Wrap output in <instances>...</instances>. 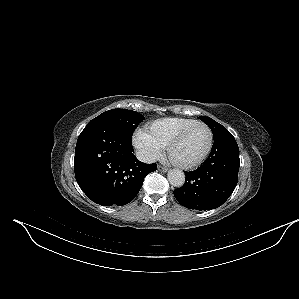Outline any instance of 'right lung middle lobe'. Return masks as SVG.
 I'll use <instances>...</instances> for the list:
<instances>
[{
  "label": "right lung middle lobe",
  "instance_id": "1",
  "mask_svg": "<svg viewBox=\"0 0 299 299\" xmlns=\"http://www.w3.org/2000/svg\"><path fill=\"white\" fill-rule=\"evenodd\" d=\"M144 119L140 113L126 109H112L106 111L91 121H104L115 125L126 134L132 136L134 130Z\"/></svg>",
  "mask_w": 299,
  "mask_h": 299
}]
</instances>
